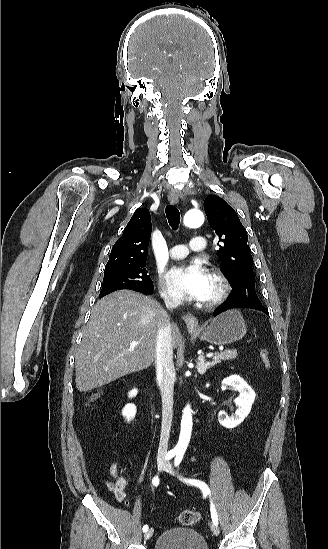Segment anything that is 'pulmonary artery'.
<instances>
[{
    "label": "pulmonary artery",
    "mask_w": 328,
    "mask_h": 549,
    "mask_svg": "<svg viewBox=\"0 0 328 549\" xmlns=\"http://www.w3.org/2000/svg\"><path fill=\"white\" fill-rule=\"evenodd\" d=\"M187 245L189 248H192L193 252H205L209 248V245L205 241H201L199 237H189L187 240ZM188 247L175 246L174 249L170 251L169 255L172 259L187 257L189 254Z\"/></svg>",
    "instance_id": "pulmonary-artery-1"
}]
</instances>
